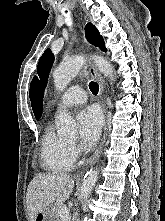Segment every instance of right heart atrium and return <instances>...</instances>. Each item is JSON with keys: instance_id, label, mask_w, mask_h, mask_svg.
I'll use <instances>...</instances> for the list:
<instances>
[{"instance_id": "1", "label": "right heart atrium", "mask_w": 165, "mask_h": 221, "mask_svg": "<svg viewBox=\"0 0 165 221\" xmlns=\"http://www.w3.org/2000/svg\"><path fill=\"white\" fill-rule=\"evenodd\" d=\"M71 148H72V150H73L74 153L77 152V147H76L74 144H71Z\"/></svg>"}]
</instances>
